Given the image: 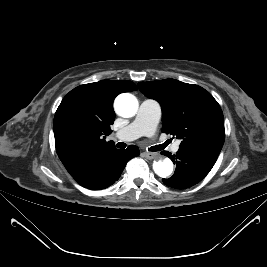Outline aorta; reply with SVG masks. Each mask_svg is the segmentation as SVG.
Segmentation results:
<instances>
[{"instance_id":"obj_1","label":"aorta","mask_w":267,"mask_h":267,"mask_svg":"<svg viewBox=\"0 0 267 267\" xmlns=\"http://www.w3.org/2000/svg\"><path fill=\"white\" fill-rule=\"evenodd\" d=\"M138 106L137 98L130 93L120 94L114 102L116 113L124 118L133 117L137 113ZM153 170L159 177L166 178L173 172V163L168 158L154 161Z\"/></svg>"}]
</instances>
